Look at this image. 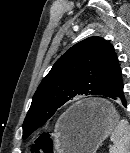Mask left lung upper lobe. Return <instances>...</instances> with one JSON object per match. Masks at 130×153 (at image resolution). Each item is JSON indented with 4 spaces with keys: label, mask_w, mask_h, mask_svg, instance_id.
Returning <instances> with one entry per match:
<instances>
[{
    "label": "left lung upper lobe",
    "mask_w": 130,
    "mask_h": 153,
    "mask_svg": "<svg viewBox=\"0 0 130 153\" xmlns=\"http://www.w3.org/2000/svg\"><path fill=\"white\" fill-rule=\"evenodd\" d=\"M116 62L113 46L101 37H89L68 49L38 86L23 123V139L73 97L101 95Z\"/></svg>",
    "instance_id": "5c2ea615"
}]
</instances>
